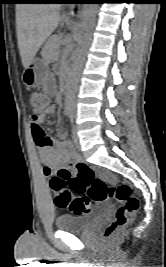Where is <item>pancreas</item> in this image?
<instances>
[{
  "mask_svg": "<svg viewBox=\"0 0 166 267\" xmlns=\"http://www.w3.org/2000/svg\"><path fill=\"white\" fill-rule=\"evenodd\" d=\"M61 36H52L42 50V57L46 62L55 61L59 56Z\"/></svg>",
  "mask_w": 166,
  "mask_h": 267,
  "instance_id": "pancreas-1",
  "label": "pancreas"
}]
</instances>
